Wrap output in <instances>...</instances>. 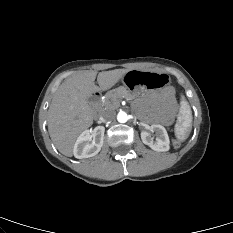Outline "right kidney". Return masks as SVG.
<instances>
[{"label":"right kidney","instance_id":"obj_1","mask_svg":"<svg viewBox=\"0 0 233 233\" xmlns=\"http://www.w3.org/2000/svg\"><path fill=\"white\" fill-rule=\"evenodd\" d=\"M105 129L102 126L96 127L92 131H84L77 138L73 154L76 158H89L97 155L103 146Z\"/></svg>","mask_w":233,"mask_h":233}]
</instances>
